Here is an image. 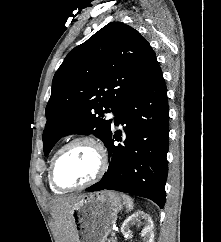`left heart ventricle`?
<instances>
[{
  "label": "left heart ventricle",
  "mask_w": 221,
  "mask_h": 242,
  "mask_svg": "<svg viewBox=\"0 0 221 242\" xmlns=\"http://www.w3.org/2000/svg\"><path fill=\"white\" fill-rule=\"evenodd\" d=\"M98 167V154L89 143L72 145L63 154L55 169V178L61 186H73L89 180Z\"/></svg>",
  "instance_id": "left-heart-ventricle-1"
}]
</instances>
